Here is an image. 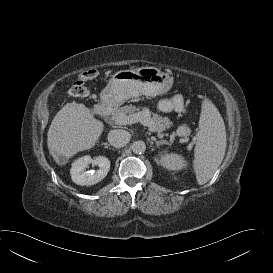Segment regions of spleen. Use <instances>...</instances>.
Segmentation results:
<instances>
[{"mask_svg": "<svg viewBox=\"0 0 273 273\" xmlns=\"http://www.w3.org/2000/svg\"><path fill=\"white\" fill-rule=\"evenodd\" d=\"M226 129L218 109L209 99L202 102L199 133L194 149L193 167L197 182L207 183L223 161L226 149ZM160 164L168 170H181L187 166L178 154L163 155Z\"/></svg>", "mask_w": 273, "mask_h": 273, "instance_id": "spleen-1", "label": "spleen"}]
</instances>
